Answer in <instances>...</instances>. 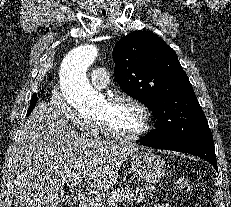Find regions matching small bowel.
Here are the masks:
<instances>
[{"instance_id":"1","label":"small bowel","mask_w":231,"mask_h":207,"mask_svg":"<svg viewBox=\"0 0 231 207\" xmlns=\"http://www.w3.org/2000/svg\"><path fill=\"white\" fill-rule=\"evenodd\" d=\"M151 207H176V206H170L168 204H164V205H154V206H151Z\"/></svg>"}]
</instances>
